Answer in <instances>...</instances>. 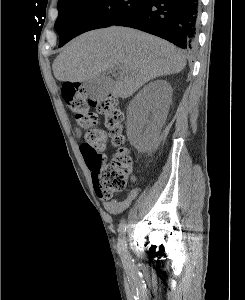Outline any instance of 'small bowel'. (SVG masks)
Here are the masks:
<instances>
[{"instance_id": "c3829d8e", "label": "small bowel", "mask_w": 245, "mask_h": 300, "mask_svg": "<svg viewBox=\"0 0 245 300\" xmlns=\"http://www.w3.org/2000/svg\"><path fill=\"white\" fill-rule=\"evenodd\" d=\"M75 134L77 137H80L81 132L78 128H75ZM137 195L138 190L132 189L123 200H106L103 202V206L108 212L118 214L126 210L137 197Z\"/></svg>"}]
</instances>
